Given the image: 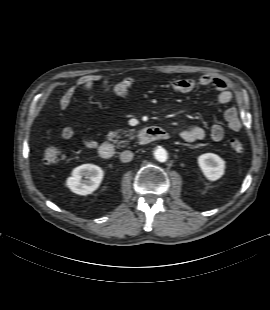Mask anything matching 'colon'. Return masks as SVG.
<instances>
[{"label": "colon", "mask_w": 270, "mask_h": 310, "mask_svg": "<svg viewBox=\"0 0 270 310\" xmlns=\"http://www.w3.org/2000/svg\"><path fill=\"white\" fill-rule=\"evenodd\" d=\"M230 147L234 152L240 153L243 151L244 143L239 138H233L230 140ZM45 160L50 163H57L65 159V154L61 147L51 146L45 151Z\"/></svg>", "instance_id": "1"}]
</instances>
